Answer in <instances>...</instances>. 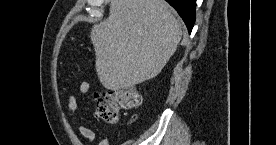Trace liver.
<instances>
[{"label": "liver", "mask_w": 276, "mask_h": 145, "mask_svg": "<svg viewBox=\"0 0 276 145\" xmlns=\"http://www.w3.org/2000/svg\"><path fill=\"white\" fill-rule=\"evenodd\" d=\"M182 31L164 0H112L109 17L91 29L95 67L110 90L156 77L175 53Z\"/></svg>", "instance_id": "1"}]
</instances>
